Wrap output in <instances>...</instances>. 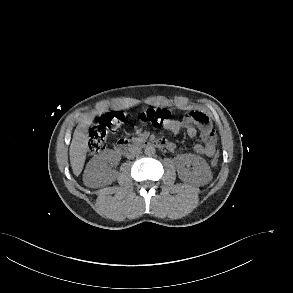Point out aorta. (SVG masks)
<instances>
[{"label":"aorta","instance_id":"obj_1","mask_svg":"<svg viewBox=\"0 0 293 293\" xmlns=\"http://www.w3.org/2000/svg\"><path fill=\"white\" fill-rule=\"evenodd\" d=\"M144 153L147 156H153L156 153L155 147L153 145H147L144 149Z\"/></svg>","mask_w":293,"mask_h":293}]
</instances>
